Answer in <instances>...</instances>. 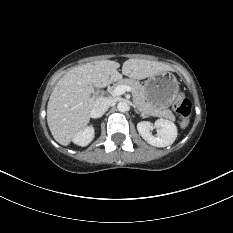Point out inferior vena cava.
<instances>
[{
    "label": "inferior vena cava",
    "mask_w": 233,
    "mask_h": 233,
    "mask_svg": "<svg viewBox=\"0 0 233 233\" xmlns=\"http://www.w3.org/2000/svg\"><path fill=\"white\" fill-rule=\"evenodd\" d=\"M111 105V101L107 98L100 97L95 100L91 114L95 118H99L108 110Z\"/></svg>",
    "instance_id": "1"
}]
</instances>
